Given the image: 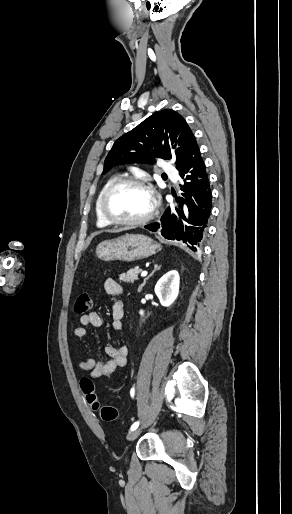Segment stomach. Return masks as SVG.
I'll return each mask as SVG.
<instances>
[{"instance_id": "1", "label": "stomach", "mask_w": 292, "mask_h": 514, "mask_svg": "<svg viewBox=\"0 0 292 514\" xmlns=\"http://www.w3.org/2000/svg\"><path fill=\"white\" fill-rule=\"evenodd\" d=\"M160 250L159 244L142 234H126L115 240H105L97 246L96 256L103 262L121 260V262H135L149 258Z\"/></svg>"}]
</instances>
